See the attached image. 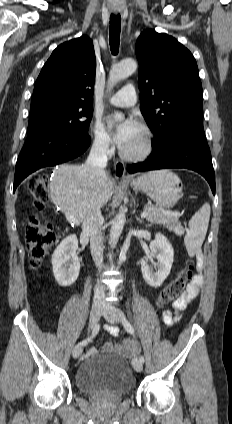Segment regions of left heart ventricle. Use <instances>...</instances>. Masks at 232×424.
<instances>
[{
	"instance_id": "obj_1",
	"label": "left heart ventricle",
	"mask_w": 232,
	"mask_h": 424,
	"mask_svg": "<svg viewBox=\"0 0 232 424\" xmlns=\"http://www.w3.org/2000/svg\"><path fill=\"white\" fill-rule=\"evenodd\" d=\"M144 143V134L139 128L133 138L129 141V143L123 148L129 152H136L143 147Z\"/></svg>"
}]
</instances>
